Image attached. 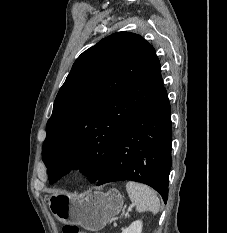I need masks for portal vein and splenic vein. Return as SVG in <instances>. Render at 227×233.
<instances>
[{"label": "portal vein and splenic vein", "instance_id": "portal-vein-and-splenic-vein-1", "mask_svg": "<svg viewBox=\"0 0 227 233\" xmlns=\"http://www.w3.org/2000/svg\"><path fill=\"white\" fill-rule=\"evenodd\" d=\"M132 207H133V206H130V207H129V211L132 209ZM129 211L125 213V215H124L125 218H128V217H129Z\"/></svg>", "mask_w": 227, "mask_h": 233}]
</instances>
